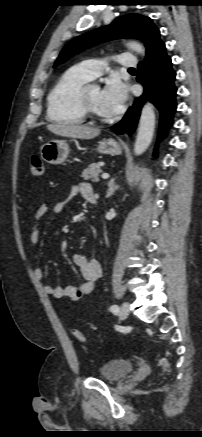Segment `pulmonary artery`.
Masks as SVG:
<instances>
[{
	"label": "pulmonary artery",
	"instance_id": "e3ab8cb5",
	"mask_svg": "<svg viewBox=\"0 0 202 437\" xmlns=\"http://www.w3.org/2000/svg\"><path fill=\"white\" fill-rule=\"evenodd\" d=\"M117 63L123 68L130 69L137 66V59L130 53H122L117 56ZM77 67L91 80L103 74L106 63L101 60L90 59L81 62Z\"/></svg>",
	"mask_w": 202,
	"mask_h": 437
}]
</instances>
